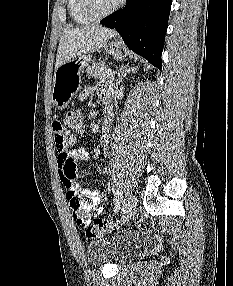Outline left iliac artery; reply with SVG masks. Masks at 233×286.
Listing matches in <instances>:
<instances>
[{
  "instance_id": "obj_1",
  "label": "left iliac artery",
  "mask_w": 233,
  "mask_h": 286,
  "mask_svg": "<svg viewBox=\"0 0 233 286\" xmlns=\"http://www.w3.org/2000/svg\"><path fill=\"white\" fill-rule=\"evenodd\" d=\"M119 208H120V199L118 198L115 200L114 212H118Z\"/></svg>"
}]
</instances>
